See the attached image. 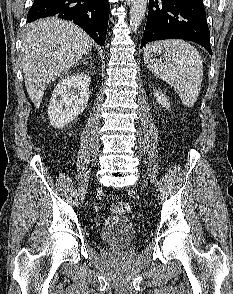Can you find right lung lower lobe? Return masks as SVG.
I'll list each match as a JSON object with an SVG mask.
<instances>
[{
    "label": "right lung lower lobe",
    "mask_w": 233,
    "mask_h": 294,
    "mask_svg": "<svg viewBox=\"0 0 233 294\" xmlns=\"http://www.w3.org/2000/svg\"><path fill=\"white\" fill-rule=\"evenodd\" d=\"M110 6L108 0H34L27 21L58 16L83 28L99 45L105 44Z\"/></svg>",
    "instance_id": "obj_1"
}]
</instances>
